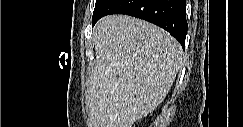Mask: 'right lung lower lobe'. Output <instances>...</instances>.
I'll use <instances>...</instances> for the list:
<instances>
[{"label":"right lung lower lobe","instance_id":"1","mask_svg":"<svg viewBox=\"0 0 243 127\" xmlns=\"http://www.w3.org/2000/svg\"><path fill=\"white\" fill-rule=\"evenodd\" d=\"M109 14H127L149 21L175 37L184 48L188 24L185 0H108L95 14L93 25Z\"/></svg>","mask_w":243,"mask_h":127}]
</instances>
